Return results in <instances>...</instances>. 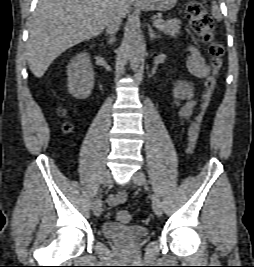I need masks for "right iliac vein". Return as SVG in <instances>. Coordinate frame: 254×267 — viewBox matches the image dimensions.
Instances as JSON below:
<instances>
[{
	"label": "right iliac vein",
	"mask_w": 254,
	"mask_h": 267,
	"mask_svg": "<svg viewBox=\"0 0 254 267\" xmlns=\"http://www.w3.org/2000/svg\"><path fill=\"white\" fill-rule=\"evenodd\" d=\"M111 181V173L109 171L105 172L103 177H102V180H101V183H102V186H107ZM92 209H93V212L96 216H100L101 212H102V202H101V199L100 197H97L94 202H93V205H92Z\"/></svg>",
	"instance_id": "63e3f726"
}]
</instances>
